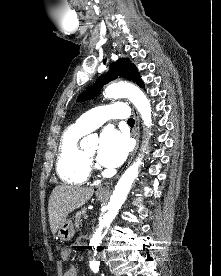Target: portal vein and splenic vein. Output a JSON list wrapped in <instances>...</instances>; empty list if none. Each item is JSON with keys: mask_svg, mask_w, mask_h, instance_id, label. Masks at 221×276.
<instances>
[{"mask_svg": "<svg viewBox=\"0 0 221 276\" xmlns=\"http://www.w3.org/2000/svg\"><path fill=\"white\" fill-rule=\"evenodd\" d=\"M87 218H88V215H87V214H85V215H84V219H87Z\"/></svg>", "mask_w": 221, "mask_h": 276, "instance_id": "obj_1", "label": "portal vein and splenic vein"}]
</instances>
